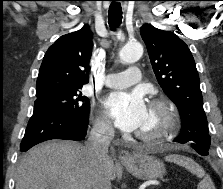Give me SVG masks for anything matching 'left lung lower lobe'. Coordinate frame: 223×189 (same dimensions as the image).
<instances>
[{
  "label": "left lung lower lobe",
  "instance_id": "0a47b994",
  "mask_svg": "<svg viewBox=\"0 0 223 189\" xmlns=\"http://www.w3.org/2000/svg\"><path fill=\"white\" fill-rule=\"evenodd\" d=\"M194 149L197 153H199L202 156H207L209 154L208 152H204L203 150H200L198 148H194Z\"/></svg>",
  "mask_w": 223,
  "mask_h": 189
}]
</instances>
